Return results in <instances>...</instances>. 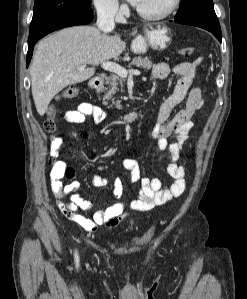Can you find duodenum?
<instances>
[{
	"mask_svg": "<svg viewBox=\"0 0 247 299\" xmlns=\"http://www.w3.org/2000/svg\"><path fill=\"white\" fill-rule=\"evenodd\" d=\"M103 85V79L99 76L93 77L90 79L88 86L92 90H98ZM145 118V112L143 111H133L127 114H124L117 118V123H125V122H134L137 120H142Z\"/></svg>",
	"mask_w": 247,
	"mask_h": 299,
	"instance_id": "410a0bca",
	"label": "duodenum"
}]
</instances>
